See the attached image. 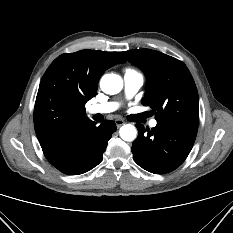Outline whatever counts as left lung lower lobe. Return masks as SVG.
<instances>
[{
  "label": "left lung lower lobe",
  "instance_id": "obj_1",
  "mask_svg": "<svg viewBox=\"0 0 233 233\" xmlns=\"http://www.w3.org/2000/svg\"><path fill=\"white\" fill-rule=\"evenodd\" d=\"M138 137L133 142L135 162L143 169L165 174L175 170L187 158L197 134V127L160 124L145 129L136 124Z\"/></svg>",
  "mask_w": 233,
  "mask_h": 233
}]
</instances>
